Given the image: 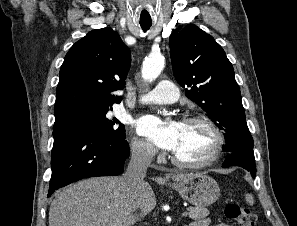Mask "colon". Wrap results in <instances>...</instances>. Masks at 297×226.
Returning <instances> with one entry per match:
<instances>
[{
  "mask_svg": "<svg viewBox=\"0 0 297 226\" xmlns=\"http://www.w3.org/2000/svg\"><path fill=\"white\" fill-rule=\"evenodd\" d=\"M225 216L236 221L240 226H255L256 217L237 203H229L225 207Z\"/></svg>",
  "mask_w": 297,
  "mask_h": 226,
  "instance_id": "5ec220e1",
  "label": "colon"
}]
</instances>
